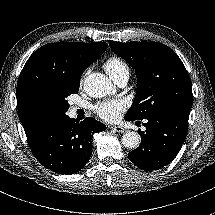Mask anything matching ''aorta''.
Listing matches in <instances>:
<instances>
[{
    "label": "aorta",
    "instance_id": "aorta-1",
    "mask_svg": "<svg viewBox=\"0 0 215 215\" xmlns=\"http://www.w3.org/2000/svg\"><path fill=\"white\" fill-rule=\"evenodd\" d=\"M85 93L92 98H101L110 90V82L102 73H92L83 81ZM122 145L128 149H136L140 145V135L134 131H127L123 134Z\"/></svg>",
    "mask_w": 215,
    "mask_h": 215
}]
</instances>
